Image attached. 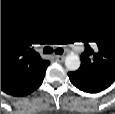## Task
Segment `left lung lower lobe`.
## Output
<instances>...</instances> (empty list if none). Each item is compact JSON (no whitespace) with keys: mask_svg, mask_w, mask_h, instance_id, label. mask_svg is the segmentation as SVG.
Instances as JSON below:
<instances>
[{"mask_svg":"<svg viewBox=\"0 0 115 114\" xmlns=\"http://www.w3.org/2000/svg\"><path fill=\"white\" fill-rule=\"evenodd\" d=\"M68 76L74 86L89 93L100 92L112 84L102 79L77 75L74 72H69Z\"/></svg>","mask_w":115,"mask_h":114,"instance_id":"left-lung-lower-lobe-1","label":"left lung lower lobe"}]
</instances>
